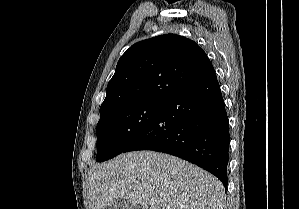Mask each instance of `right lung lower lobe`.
Listing matches in <instances>:
<instances>
[{
  "label": "right lung lower lobe",
  "mask_w": 299,
  "mask_h": 209,
  "mask_svg": "<svg viewBox=\"0 0 299 209\" xmlns=\"http://www.w3.org/2000/svg\"><path fill=\"white\" fill-rule=\"evenodd\" d=\"M229 122L214 70L185 81L123 152L153 150L194 163L228 185Z\"/></svg>",
  "instance_id": "obj_1"
}]
</instances>
